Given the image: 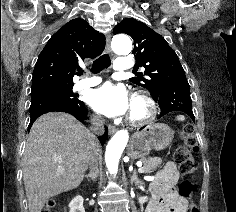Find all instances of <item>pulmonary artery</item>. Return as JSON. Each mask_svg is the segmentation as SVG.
I'll use <instances>...</instances> for the list:
<instances>
[{"label":"pulmonary artery","mask_w":236,"mask_h":212,"mask_svg":"<svg viewBox=\"0 0 236 212\" xmlns=\"http://www.w3.org/2000/svg\"><path fill=\"white\" fill-rule=\"evenodd\" d=\"M133 67V62L131 60H128L126 58H117L114 64V69L116 71H125L129 70ZM101 82V78L92 76V77H86L84 79L79 80L75 84L76 89H84L96 86Z\"/></svg>","instance_id":"e3ab8cb5"}]
</instances>
